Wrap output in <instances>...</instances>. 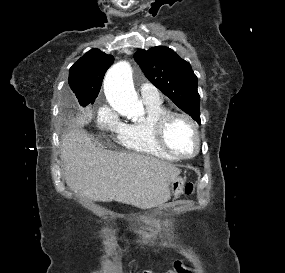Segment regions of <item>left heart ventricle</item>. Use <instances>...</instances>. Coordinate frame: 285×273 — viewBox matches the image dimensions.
Listing matches in <instances>:
<instances>
[{
	"label": "left heart ventricle",
	"mask_w": 285,
	"mask_h": 273,
	"mask_svg": "<svg viewBox=\"0 0 285 273\" xmlns=\"http://www.w3.org/2000/svg\"><path fill=\"white\" fill-rule=\"evenodd\" d=\"M166 138L169 145L184 154L195 149V136L189 124L182 118L173 119L167 127Z\"/></svg>",
	"instance_id": "b2bd125f"
}]
</instances>
